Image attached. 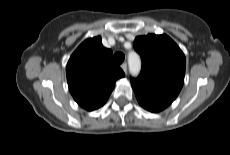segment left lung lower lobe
<instances>
[{
    "label": "left lung lower lobe",
    "mask_w": 230,
    "mask_h": 155,
    "mask_svg": "<svg viewBox=\"0 0 230 155\" xmlns=\"http://www.w3.org/2000/svg\"><path fill=\"white\" fill-rule=\"evenodd\" d=\"M138 102L144 109H146L150 112H160L163 109H165L164 107L157 105V104H153V103H149V102H145V101H138Z\"/></svg>",
    "instance_id": "left-lung-lower-lobe-1"
}]
</instances>
